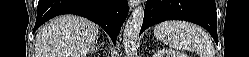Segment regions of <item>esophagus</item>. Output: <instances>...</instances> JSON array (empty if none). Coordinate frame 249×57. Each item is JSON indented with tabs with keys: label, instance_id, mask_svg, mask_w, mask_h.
Masks as SVG:
<instances>
[{
	"label": "esophagus",
	"instance_id": "1",
	"mask_svg": "<svg viewBox=\"0 0 249 57\" xmlns=\"http://www.w3.org/2000/svg\"><path fill=\"white\" fill-rule=\"evenodd\" d=\"M139 3H140V0H129V7H130V9H133Z\"/></svg>",
	"mask_w": 249,
	"mask_h": 57
}]
</instances>
